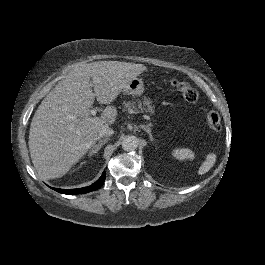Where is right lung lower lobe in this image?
Returning <instances> with one entry per match:
<instances>
[{
  "label": "right lung lower lobe",
  "mask_w": 265,
  "mask_h": 265,
  "mask_svg": "<svg viewBox=\"0 0 265 265\" xmlns=\"http://www.w3.org/2000/svg\"><path fill=\"white\" fill-rule=\"evenodd\" d=\"M105 177H106V174H105V172H103V174L101 175V177L99 178L98 181H96L94 184H92L90 186L83 187V188L70 189V190L60 189V188H52V189H54L55 191H57L59 193L68 194V195L85 194V193L99 189L103 185V183L105 181Z\"/></svg>",
  "instance_id": "98d812e1"
}]
</instances>
